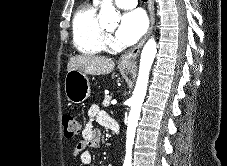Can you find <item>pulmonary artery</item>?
I'll return each mask as SVG.
<instances>
[{
    "instance_id": "1",
    "label": "pulmonary artery",
    "mask_w": 227,
    "mask_h": 166,
    "mask_svg": "<svg viewBox=\"0 0 227 166\" xmlns=\"http://www.w3.org/2000/svg\"><path fill=\"white\" fill-rule=\"evenodd\" d=\"M99 2L100 0H95ZM115 4L121 9H133L137 6V0H115Z\"/></svg>"
}]
</instances>
